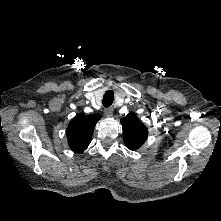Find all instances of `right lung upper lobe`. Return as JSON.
<instances>
[{"label":"right lung upper lobe","mask_w":221,"mask_h":221,"mask_svg":"<svg viewBox=\"0 0 221 221\" xmlns=\"http://www.w3.org/2000/svg\"><path fill=\"white\" fill-rule=\"evenodd\" d=\"M101 118L100 115L85 116L77 114L69 123L66 135L69 147L74 152H83L91 142L96 123Z\"/></svg>","instance_id":"obj_1"}]
</instances>
